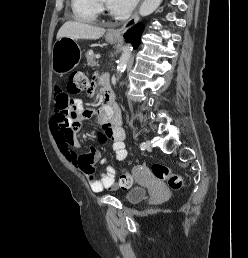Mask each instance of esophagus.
Instances as JSON below:
<instances>
[{
  "mask_svg": "<svg viewBox=\"0 0 248 258\" xmlns=\"http://www.w3.org/2000/svg\"><path fill=\"white\" fill-rule=\"evenodd\" d=\"M138 12H139V8L134 12L132 17L124 25H122L120 28H117V29H111L109 31V34L114 36H120L121 34L125 33L138 21L139 19Z\"/></svg>",
  "mask_w": 248,
  "mask_h": 258,
  "instance_id": "obj_1",
  "label": "esophagus"
}]
</instances>
